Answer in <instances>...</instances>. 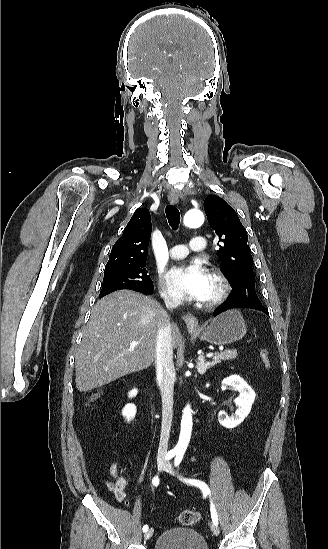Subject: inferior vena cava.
<instances>
[{
	"label": "inferior vena cava",
	"mask_w": 328,
	"mask_h": 549,
	"mask_svg": "<svg viewBox=\"0 0 328 549\" xmlns=\"http://www.w3.org/2000/svg\"><path fill=\"white\" fill-rule=\"evenodd\" d=\"M164 303L168 311H172V309H176V307H179L180 305V301H176V299H165ZM155 365L162 399V423L158 459H164L168 451L173 413L174 365L170 325H164V327L159 329L156 343Z\"/></svg>",
	"instance_id": "602c4592"
}]
</instances>
